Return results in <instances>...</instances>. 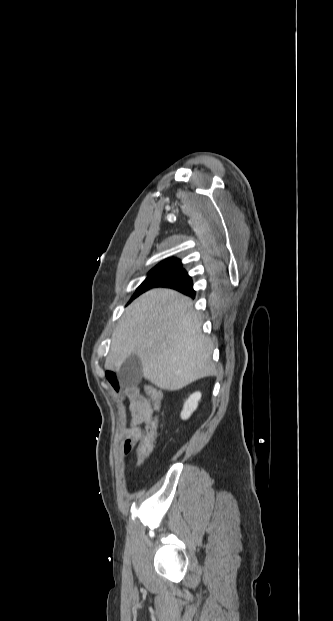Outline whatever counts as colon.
<instances>
[{"instance_id": "5ec220e1", "label": "colon", "mask_w": 333, "mask_h": 621, "mask_svg": "<svg viewBox=\"0 0 333 621\" xmlns=\"http://www.w3.org/2000/svg\"><path fill=\"white\" fill-rule=\"evenodd\" d=\"M149 387L150 398L152 400L154 409L158 411L162 400V392L155 386ZM158 427L159 420L156 415H154L152 419L146 425H144L143 432L138 439L136 448V458L139 465H142L152 453L153 442L157 435Z\"/></svg>"}]
</instances>
